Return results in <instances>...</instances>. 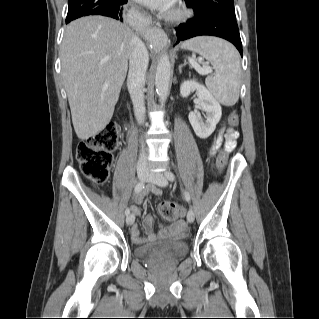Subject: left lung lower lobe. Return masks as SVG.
<instances>
[{
	"label": "left lung lower lobe",
	"instance_id": "left-lung-lower-lobe-1",
	"mask_svg": "<svg viewBox=\"0 0 319 319\" xmlns=\"http://www.w3.org/2000/svg\"><path fill=\"white\" fill-rule=\"evenodd\" d=\"M177 43L195 36L211 35L230 41L242 56V43L236 20L220 15L194 16L176 28Z\"/></svg>",
	"mask_w": 319,
	"mask_h": 319
}]
</instances>
